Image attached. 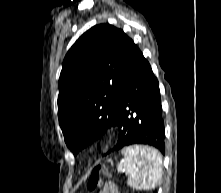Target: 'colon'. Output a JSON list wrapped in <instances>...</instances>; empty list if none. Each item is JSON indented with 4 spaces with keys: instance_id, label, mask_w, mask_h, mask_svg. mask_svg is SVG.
Segmentation results:
<instances>
[{
    "instance_id": "5ec220e1",
    "label": "colon",
    "mask_w": 221,
    "mask_h": 193,
    "mask_svg": "<svg viewBox=\"0 0 221 193\" xmlns=\"http://www.w3.org/2000/svg\"><path fill=\"white\" fill-rule=\"evenodd\" d=\"M102 176H109V172L104 166L97 165L92 169L90 175L88 176L87 189L91 192L98 189L101 185Z\"/></svg>"
}]
</instances>
